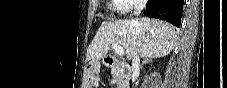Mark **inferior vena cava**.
<instances>
[{
  "instance_id": "602c4592",
  "label": "inferior vena cava",
  "mask_w": 227,
  "mask_h": 88,
  "mask_svg": "<svg viewBox=\"0 0 227 88\" xmlns=\"http://www.w3.org/2000/svg\"><path fill=\"white\" fill-rule=\"evenodd\" d=\"M144 7H145L144 2L138 3L135 6L134 14L138 16L141 13V11L144 9ZM139 53H140L139 49L136 47L135 52H134V56H133V59H132V70H131L132 77L139 74V67H140V54Z\"/></svg>"
}]
</instances>
